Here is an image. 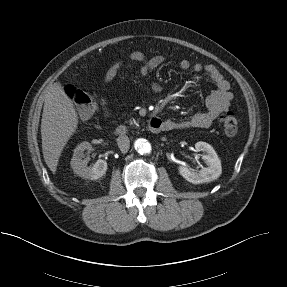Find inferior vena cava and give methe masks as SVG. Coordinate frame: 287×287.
Segmentation results:
<instances>
[{
    "instance_id": "inferior-vena-cava-1",
    "label": "inferior vena cava",
    "mask_w": 287,
    "mask_h": 287,
    "mask_svg": "<svg viewBox=\"0 0 287 287\" xmlns=\"http://www.w3.org/2000/svg\"><path fill=\"white\" fill-rule=\"evenodd\" d=\"M117 144L122 153H126L130 147V140L126 135H120L117 138Z\"/></svg>"
}]
</instances>
